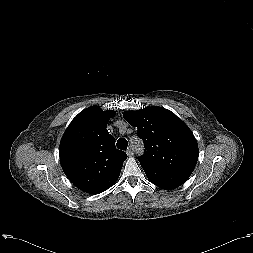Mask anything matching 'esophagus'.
<instances>
[{"instance_id": "34e87169", "label": "esophagus", "mask_w": 253, "mask_h": 253, "mask_svg": "<svg viewBox=\"0 0 253 253\" xmlns=\"http://www.w3.org/2000/svg\"><path fill=\"white\" fill-rule=\"evenodd\" d=\"M126 153H127V155L129 156V157H131V156H133V150L131 149V148H128L127 149V151H126Z\"/></svg>"}]
</instances>
